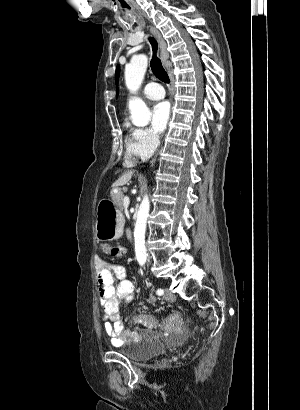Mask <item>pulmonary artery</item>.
<instances>
[{
	"label": "pulmonary artery",
	"mask_w": 300,
	"mask_h": 410,
	"mask_svg": "<svg viewBox=\"0 0 300 410\" xmlns=\"http://www.w3.org/2000/svg\"><path fill=\"white\" fill-rule=\"evenodd\" d=\"M143 95L150 100H160L164 98L165 92L161 85L157 83H149L144 87Z\"/></svg>",
	"instance_id": "e3ab8cb5"
}]
</instances>
